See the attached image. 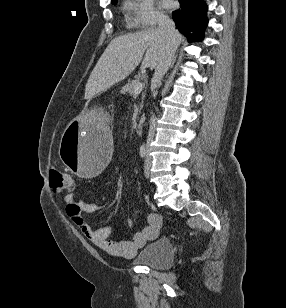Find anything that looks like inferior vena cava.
<instances>
[{"label": "inferior vena cava", "mask_w": 286, "mask_h": 308, "mask_svg": "<svg viewBox=\"0 0 286 308\" xmlns=\"http://www.w3.org/2000/svg\"><path fill=\"white\" fill-rule=\"evenodd\" d=\"M158 30L163 34L165 38L164 53L155 67V73L153 75L152 82L154 87H158L161 84L163 76L167 73L171 63L173 61L175 52L178 47V31L175 29V23L173 20L165 15H161L158 18ZM155 116L154 114L150 120V129L148 133V144L153 140L155 133Z\"/></svg>", "instance_id": "1"}]
</instances>
